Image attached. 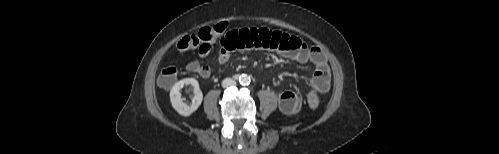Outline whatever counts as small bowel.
<instances>
[{
	"label": "small bowel",
	"mask_w": 499,
	"mask_h": 154,
	"mask_svg": "<svg viewBox=\"0 0 499 154\" xmlns=\"http://www.w3.org/2000/svg\"><path fill=\"white\" fill-rule=\"evenodd\" d=\"M219 42V63H226L231 53L238 50H272L287 59L314 65L310 92L324 94L330 88L331 73L326 56L318 47H309L297 37L267 28H240L223 34ZM212 49V42L202 43L198 47V54L200 57H206ZM186 69L203 78H208L211 74L210 67L198 61L190 62ZM301 104L300 97L292 91H283L278 95L279 108L286 115L296 114Z\"/></svg>",
	"instance_id": "small-bowel-1"
}]
</instances>
